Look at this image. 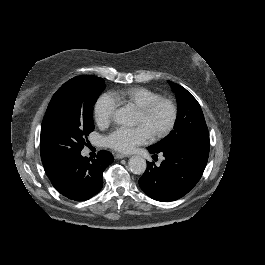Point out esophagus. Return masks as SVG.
Instances as JSON below:
<instances>
[{"label":"esophagus","instance_id":"esophagus-1","mask_svg":"<svg viewBox=\"0 0 265 265\" xmlns=\"http://www.w3.org/2000/svg\"><path fill=\"white\" fill-rule=\"evenodd\" d=\"M127 157H129V155H127V154H120V153L115 154L116 159H123V158H127Z\"/></svg>","mask_w":265,"mask_h":265}]
</instances>
